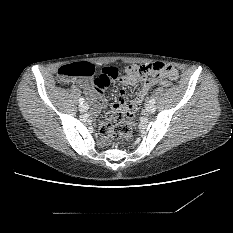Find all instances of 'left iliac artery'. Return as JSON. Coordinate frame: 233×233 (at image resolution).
<instances>
[{"label":"left iliac artery","mask_w":233,"mask_h":233,"mask_svg":"<svg viewBox=\"0 0 233 233\" xmlns=\"http://www.w3.org/2000/svg\"><path fill=\"white\" fill-rule=\"evenodd\" d=\"M149 103L150 104H154L155 103V99L154 98L150 99Z\"/></svg>","instance_id":"44dca946"}]
</instances>
